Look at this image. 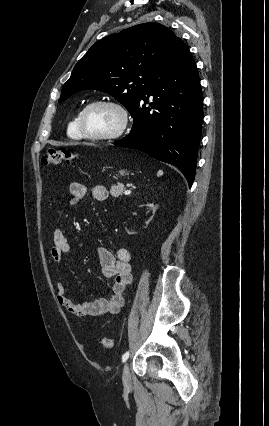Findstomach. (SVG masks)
I'll return each instance as SVG.
<instances>
[{
	"mask_svg": "<svg viewBox=\"0 0 269 426\" xmlns=\"http://www.w3.org/2000/svg\"><path fill=\"white\" fill-rule=\"evenodd\" d=\"M119 173H120V175L124 176L125 175V170H120Z\"/></svg>",
	"mask_w": 269,
	"mask_h": 426,
	"instance_id": "obj_1",
	"label": "stomach"
}]
</instances>
